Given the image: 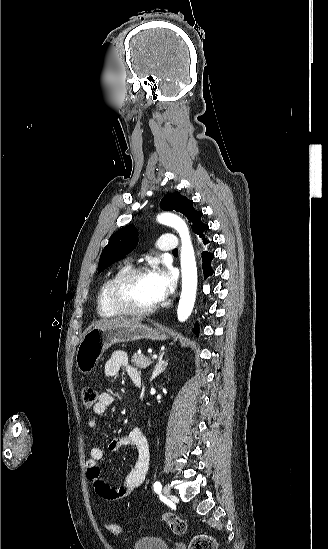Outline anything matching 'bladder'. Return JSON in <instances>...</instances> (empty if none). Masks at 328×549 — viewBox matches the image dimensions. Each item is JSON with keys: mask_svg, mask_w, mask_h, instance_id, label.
<instances>
[{"mask_svg": "<svg viewBox=\"0 0 328 549\" xmlns=\"http://www.w3.org/2000/svg\"><path fill=\"white\" fill-rule=\"evenodd\" d=\"M138 549H169L168 542L155 536H145L138 543Z\"/></svg>", "mask_w": 328, "mask_h": 549, "instance_id": "1", "label": "bladder"}]
</instances>
